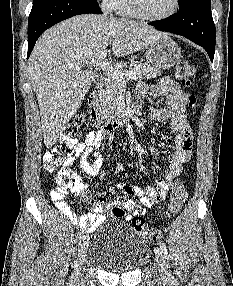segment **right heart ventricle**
<instances>
[{"mask_svg":"<svg viewBox=\"0 0 233 286\" xmlns=\"http://www.w3.org/2000/svg\"><path fill=\"white\" fill-rule=\"evenodd\" d=\"M112 10L120 16L136 17L128 0H116Z\"/></svg>","mask_w":233,"mask_h":286,"instance_id":"e07e8e85","label":"right heart ventricle"}]
</instances>
